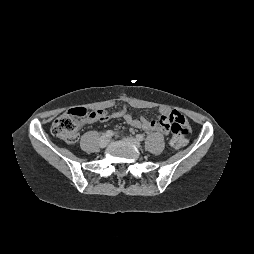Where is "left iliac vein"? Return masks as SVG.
I'll return each mask as SVG.
<instances>
[{"label":"left iliac vein","mask_w":254,"mask_h":254,"mask_svg":"<svg viewBox=\"0 0 254 254\" xmlns=\"http://www.w3.org/2000/svg\"><path fill=\"white\" fill-rule=\"evenodd\" d=\"M126 140L130 143H132L135 147L139 148L140 147V142L133 138V137H127Z\"/></svg>","instance_id":"left-iliac-vein-1"}]
</instances>
